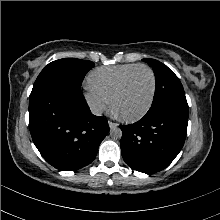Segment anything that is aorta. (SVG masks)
I'll list each match as a JSON object with an SVG mask.
<instances>
[{
	"instance_id": "1",
	"label": "aorta",
	"mask_w": 220,
	"mask_h": 220,
	"mask_svg": "<svg viewBox=\"0 0 220 220\" xmlns=\"http://www.w3.org/2000/svg\"><path fill=\"white\" fill-rule=\"evenodd\" d=\"M110 136L113 139H120L122 137V130L118 127H113L110 130Z\"/></svg>"
}]
</instances>
